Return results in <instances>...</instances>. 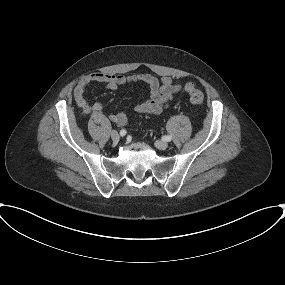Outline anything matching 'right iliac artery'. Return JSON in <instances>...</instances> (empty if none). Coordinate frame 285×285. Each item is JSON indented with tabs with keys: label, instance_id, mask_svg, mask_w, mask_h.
<instances>
[{
	"label": "right iliac artery",
	"instance_id": "82829eb1",
	"mask_svg": "<svg viewBox=\"0 0 285 285\" xmlns=\"http://www.w3.org/2000/svg\"><path fill=\"white\" fill-rule=\"evenodd\" d=\"M120 135H121V136H125V135H126V130H125V129H122V130L120 131Z\"/></svg>",
	"mask_w": 285,
	"mask_h": 285
}]
</instances>
